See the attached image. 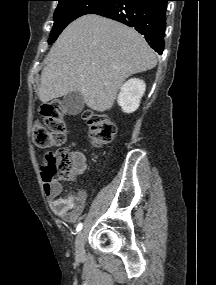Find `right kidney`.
I'll return each mask as SVG.
<instances>
[{
	"mask_svg": "<svg viewBox=\"0 0 216 285\" xmlns=\"http://www.w3.org/2000/svg\"><path fill=\"white\" fill-rule=\"evenodd\" d=\"M145 89L144 81L136 78L130 79L122 85L118 95V104L125 113L137 110Z\"/></svg>",
	"mask_w": 216,
	"mask_h": 285,
	"instance_id": "right-kidney-1",
	"label": "right kidney"
}]
</instances>
